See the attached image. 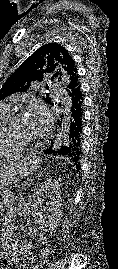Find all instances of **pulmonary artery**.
Instances as JSON below:
<instances>
[{
    "instance_id": "1",
    "label": "pulmonary artery",
    "mask_w": 118,
    "mask_h": 269,
    "mask_svg": "<svg viewBox=\"0 0 118 269\" xmlns=\"http://www.w3.org/2000/svg\"><path fill=\"white\" fill-rule=\"evenodd\" d=\"M50 86L53 88H57V85H55V84H50Z\"/></svg>"
}]
</instances>
